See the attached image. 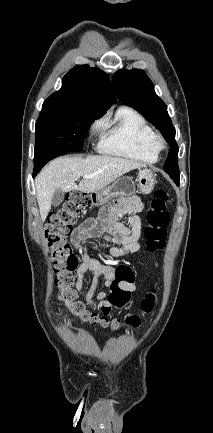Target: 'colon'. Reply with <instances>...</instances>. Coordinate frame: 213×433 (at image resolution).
Masks as SVG:
<instances>
[{"mask_svg":"<svg viewBox=\"0 0 213 433\" xmlns=\"http://www.w3.org/2000/svg\"><path fill=\"white\" fill-rule=\"evenodd\" d=\"M168 196L164 190H157L152 198L146 213L147 226L144 230L146 246L149 251H157L165 246L166 227L169 223L167 210ZM89 205V199L81 193H71L62 207L52 212L47 220L45 238L51 255L54 259L56 278L55 282L61 289L60 298L65 303L69 312L81 319L83 322L118 330L124 325L138 328L141 319L153 309L155 302V291L147 293L141 302V313L127 316L124 320L111 318L108 314H98L88 310L82 301L77 299L74 288V269L77 266L76 256L66 241L74 226ZM134 282V274L127 266H119L115 270V280L110 290V302L112 305L123 308L130 299V291L125 287Z\"/></svg>","mask_w":213,"mask_h":433,"instance_id":"1","label":"colon"}]
</instances>
